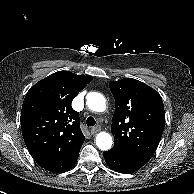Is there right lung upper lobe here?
I'll use <instances>...</instances> for the list:
<instances>
[{"instance_id": "obj_1", "label": "right lung upper lobe", "mask_w": 194, "mask_h": 194, "mask_svg": "<svg viewBox=\"0 0 194 194\" xmlns=\"http://www.w3.org/2000/svg\"><path fill=\"white\" fill-rule=\"evenodd\" d=\"M92 79L58 71L26 94L21 110L23 138L33 159L50 172L67 171L78 158L85 137L71 102Z\"/></svg>"}]
</instances>
